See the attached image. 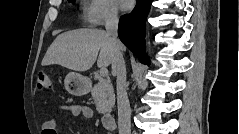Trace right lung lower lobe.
<instances>
[{
  "label": "right lung lower lobe",
  "mask_w": 239,
  "mask_h": 134,
  "mask_svg": "<svg viewBox=\"0 0 239 134\" xmlns=\"http://www.w3.org/2000/svg\"><path fill=\"white\" fill-rule=\"evenodd\" d=\"M152 0H136L134 10L120 18L118 36L120 40L134 53L143 63L147 56L144 54L145 22Z\"/></svg>",
  "instance_id": "1"
}]
</instances>
